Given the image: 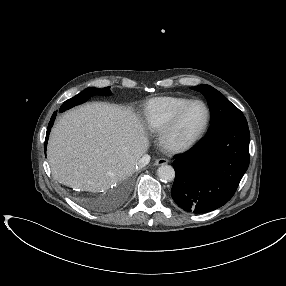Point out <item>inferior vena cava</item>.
Returning a JSON list of instances; mask_svg holds the SVG:
<instances>
[{"instance_id":"602c4592","label":"inferior vena cava","mask_w":286,"mask_h":286,"mask_svg":"<svg viewBox=\"0 0 286 286\" xmlns=\"http://www.w3.org/2000/svg\"><path fill=\"white\" fill-rule=\"evenodd\" d=\"M150 162V156L148 154L143 155L137 162V167H144Z\"/></svg>"}]
</instances>
